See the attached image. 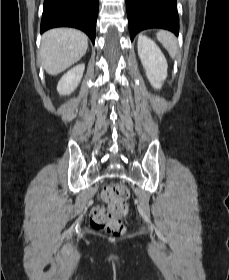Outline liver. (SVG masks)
Here are the masks:
<instances>
[{"mask_svg":"<svg viewBox=\"0 0 229 280\" xmlns=\"http://www.w3.org/2000/svg\"><path fill=\"white\" fill-rule=\"evenodd\" d=\"M88 48V37L81 31L56 28L42 36L41 60L46 72L57 75L79 61Z\"/></svg>","mask_w":229,"mask_h":280,"instance_id":"1","label":"liver"}]
</instances>
